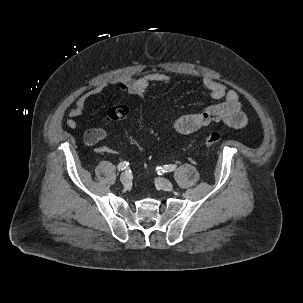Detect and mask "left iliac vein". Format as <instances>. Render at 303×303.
<instances>
[{
	"instance_id": "left-iliac-vein-1",
	"label": "left iliac vein",
	"mask_w": 303,
	"mask_h": 303,
	"mask_svg": "<svg viewBox=\"0 0 303 303\" xmlns=\"http://www.w3.org/2000/svg\"><path fill=\"white\" fill-rule=\"evenodd\" d=\"M156 185L165 191H171L173 189V184L171 181L165 179V178H158L156 179Z\"/></svg>"
}]
</instances>
